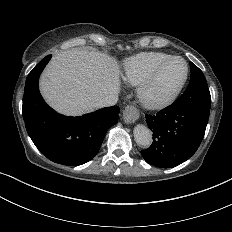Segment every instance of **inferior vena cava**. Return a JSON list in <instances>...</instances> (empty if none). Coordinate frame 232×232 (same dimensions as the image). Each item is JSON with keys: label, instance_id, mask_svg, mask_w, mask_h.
I'll return each instance as SVG.
<instances>
[{"label": "inferior vena cava", "instance_id": "602c4592", "mask_svg": "<svg viewBox=\"0 0 232 232\" xmlns=\"http://www.w3.org/2000/svg\"><path fill=\"white\" fill-rule=\"evenodd\" d=\"M117 100H118V98L115 94H110V95H107V96L101 98L97 102H95V107L113 106L117 103Z\"/></svg>", "mask_w": 232, "mask_h": 232}]
</instances>
